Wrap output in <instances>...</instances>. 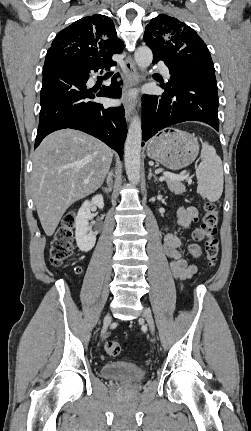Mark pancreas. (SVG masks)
I'll list each match as a JSON object with an SVG mask.
<instances>
[{"mask_svg":"<svg viewBox=\"0 0 251 431\" xmlns=\"http://www.w3.org/2000/svg\"><path fill=\"white\" fill-rule=\"evenodd\" d=\"M165 181H166L170 191L175 193V194H182L186 191L184 184H182L181 181H179V180H173L170 178H166Z\"/></svg>","mask_w":251,"mask_h":431,"instance_id":"obj_1","label":"pancreas"}]
</instances>
